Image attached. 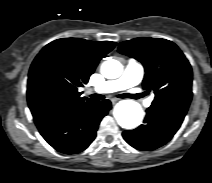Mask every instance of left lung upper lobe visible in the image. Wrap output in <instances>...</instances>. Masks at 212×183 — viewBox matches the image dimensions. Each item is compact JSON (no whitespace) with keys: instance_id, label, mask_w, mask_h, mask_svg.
<instances>
[{"instance_id":"obj_1","label":"left lung upper lobe","mask_w":212,"mask_h":183,"mask_svg":"<svg viewBox=\"0 0 212 183\" xmlns=\"http://www.w3.org/2000/svg\"><path fill=\"white\" fill-rule=\"evenodd\" d=\"M118 51L143 64V88L155 94L152 105L187 112L192 99V69L173 42L140 37L121 42Z\"/></svg>"}]
</instances>
